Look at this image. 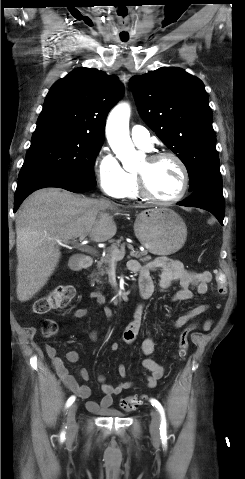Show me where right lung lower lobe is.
<instances>
[{"instance_id": "1", "label": "right lung lower lobe", "mask_w": 245, "mask_h": 479, "mask_svg": "<svg viewBox=\"0 0 245 479\" xmlns=\"http://www.w3.org/2000/svg\"><path fill=\"white\" fill-rule=\"evenodd\" d=\"M45 187H59L71 192L82 193L92 190L94 185L54 173L37 174L23 178L18 180L14 199V212L28 195L35 190Z\"/></svg>"}]
</instances>
